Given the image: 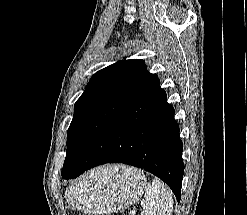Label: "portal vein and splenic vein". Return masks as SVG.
Wrapping results in <instances>:
<instances>
[{
    "mask_svg": "<svg viewBox=\"0 0 247 215\" xmlns=\"http://www.w3.org/2000/svg\"><path fill=\"white\" fill-rule=\"evenodd\" d=\"M136 212H137L136 210L133 211V213H136Z\"/></svg>",
    "mask_w": 247,
    "mask_h": 215,
    "instance_id": "obj_1",
    "label": "portal vein and splenic vein"
}]
</instances>
